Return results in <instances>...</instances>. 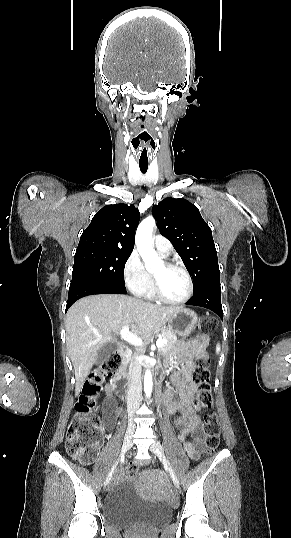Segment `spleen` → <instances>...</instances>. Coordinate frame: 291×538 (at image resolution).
I'll return each mask as SVG.
<instances>
[{"mask_svg": "<svg viewBox=\"0 0 291 538\" xmlns=\"http://www.w3.org/2000/svg\"><path fill=\"white\" fill-rule=\"evenodd\" d=\"M216 353H218V354L220 353V344H217V346H216Z\"/></svg>", "mask_w": 291, "mask_h": 538, "instance_id": "1", "label": "spleen"}]
</instances>
